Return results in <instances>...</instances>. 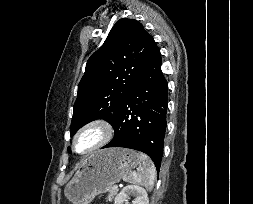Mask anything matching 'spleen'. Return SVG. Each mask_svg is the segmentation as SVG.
<instances>
[{"instance_id":"1","label":"spleen","mask_w":253,"mask_h":204,"mask_svg":"<svg viewBox=\"0 0 253 204\" xmlns=\"http://www.w3.org/2000/svg\"><path fill=\"white\" fill-rule=\"evenodd\" d=\"M139 166L137 171L124 175L123 180L128 183L142 185L152 190L156 178V168L152 160L144 153L138 154Z\"/></svg>"}]
</instances>
